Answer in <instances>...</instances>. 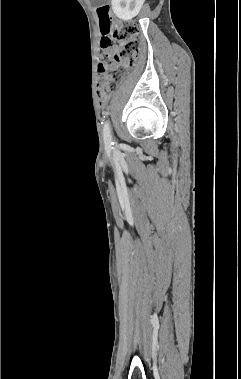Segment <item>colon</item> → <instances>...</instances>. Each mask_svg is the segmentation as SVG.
Here are the masks:
<instances>
[{
    "label": "colon",
    "instance_id": "1",
    "mask_svg": "<svg viewBox=\"0 0 241 379\" xmlns=\"http://www.w3.org/2000/svg\"><path fill=\"white\" fill-rule=\"evenodd\" d=\"M98 16L104 37L101 40L97 92L102 100H106L126 70L136 62L139 30L135 23H113L112 9L108 4L98 8Z\"/></svg>",
    "mask_w": 241,
    "mask_h": 379
}]
</instances>
